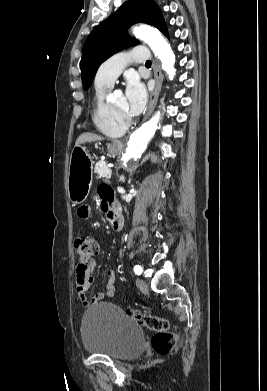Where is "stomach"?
I'll return each mask as SVG.
<instances>
[{"label": "stomach", "instance_id": "obj_1", "mask_svg": "<svg viewBox=\"0 0 267 391\" xmlns=\"http://www.w3.org/2000/svg\"><path fill=\"white\" fill-rule=\"evenodd\" d=\"M121 149L120 143L114 142L108 146L111 154H117ZM93 160L82 146H75L70 156L68 171V196L72 203L80 204L88 196L92 184Z\"/></svg>", "mask_w": 267, "mask_h": 391}]
</instances>
